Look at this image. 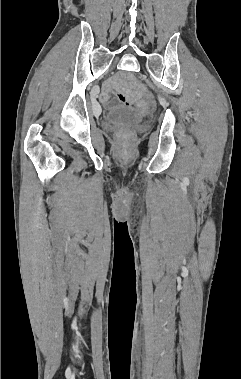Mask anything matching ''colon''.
<instances>
[{
	"label": "colon",
	"instance_id": "5ec220e1",
	"mask_svg": "<svg viewBox=\"0 0 241 379\" xmlns=\"http://www.w3.org/2000/svg\"><path fill=\"white\" fill-rule=\"evenodd\" d=\"M118 97H119V100L121 101V103H123L124 105H129L131 103V99L123 93H120L118 95ZM150 106H151V98L150 97H142L141 102L133 104L132 107L135 110H140V109L146 110V109H149ZM130 135H131V131L127 130V129L122 130L119 133V137L121 139H127L128 137H130Z\"/></svg>",
	"mask_w": 241,
	"mask_h": 379
}]
</instances>
